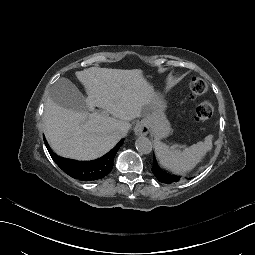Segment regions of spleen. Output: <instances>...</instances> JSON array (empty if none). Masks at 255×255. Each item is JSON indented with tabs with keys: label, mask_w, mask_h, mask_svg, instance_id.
Segmentation results:
<instances>
[{
	"label": "spleen",
	"mask_w": 255,
	"mask_h": 255,
	"mask_svg": "<svg viewBox=\"0 0 255 255\" xmlns=\"http://www.w3.org/2000/svg\"><path fill=\"white\" fill-rule=\"evenodd\" d=\"M213 135L205 137L200 141L183 151L178 149V145L169 147L161 142L159 138L155 139L154 148L156 157L160 165L175 174H184L192 170L212 149Z\"/></svg>",
	"instance_id": "obj_1"
}]
</instances>
